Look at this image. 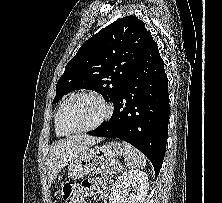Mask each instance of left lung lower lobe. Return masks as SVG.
Instances as JSON below:
<instances>
[{
	"mask_svg": "<svg viewBox=\"0 0 222 203\" xmlns=\"http://www.w3.org/2000/svg\"><path fill=\"white\" fill-rule=\"evenodd\" d=\"M113 104L109 122L87 134L130 143L150 159L157 177L168 137L169 95L164 63L152 36Z\"/></svg>",
	"mask_w": 222,
	"mask_h": 203,
	"instance_id": "1",
	"label": "left lung lower lobe"
}]
</instances>
